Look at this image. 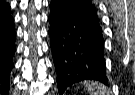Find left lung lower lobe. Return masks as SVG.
<instances>
[{
  "mask_svg": "<svg viewBox=\"0 0 135 95\" xmlns=\"http://www.w3.org/2000/svg\"><path fill=\"white\" fill-rule=\"evenodd\" d=\"M51 50L59 93L85 79L108 85L105 74L104 40L99 24L50 4Z\"/></svg>",
  "mask_w": 135,
  "mask_h": 95,
  "instance_id": "left-lung-lower-lobe-1",
  "label": "left lung lower lobe"
}]
</instances>
